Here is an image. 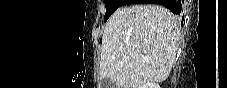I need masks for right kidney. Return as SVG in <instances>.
<instances>
[{
	"label": "right kidney",
	"instance_id": "obj_1",
	"mask_svg": "<svg viewBox=\"0 0 227 88\" xmlns=\"http://www.w3.org/2000/svg\"><path fill=\"white\" fill-rule=\"evenodd\" d=\"M140 88H160L158 83L155 82H148L142 85Z\"/></svg>",
	"mask_w": 227,
	"mask_h": 88
}]
</instances>
